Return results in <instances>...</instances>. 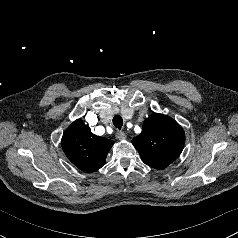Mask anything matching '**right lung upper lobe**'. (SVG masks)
<instances>
[{
  "mask_svg": "<svg viewBox=\"0 0 238 238\" xmlns=\"http://www.w3.org/2000/svg\"><path fill=\"white\" fill-rule=\"evenodd\" d=\"M114 142L99 137L81 119L74 121L63 133L61 145L67 158L85 173L97 171L105 164Z\"/></svg>",
  "mask_w": 238,
  "mask_h": 238,
  "instance_id": "cb5924a9",
  "label": "right lung upper lobe"
}]
</instances>
